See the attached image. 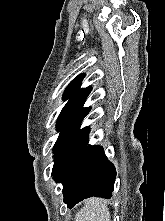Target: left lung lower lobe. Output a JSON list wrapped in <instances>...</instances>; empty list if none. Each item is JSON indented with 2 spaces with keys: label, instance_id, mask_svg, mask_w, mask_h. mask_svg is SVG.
<instances>
[{
  "label": "left lung lower lobe",
  "instance_id": "1",
  "mask_svg": "<svg viewBox=\"0 0 165 221\" xmlns=\"http://www.w3.org/2000/svg\"><path fill=\"white\" fill-rule=\"evenodd\" d=\"M81 121L54 146L52 176L63 184L64 202L69 208L91 196L110 198L116 178L115 167L102 147L88 145L89 127L79 129Z\"/></svg>",
  "mask_w": 165,
  "mask_h": 221
}]
</instances>
